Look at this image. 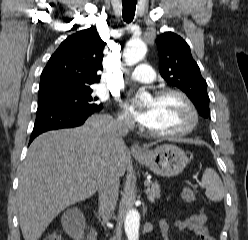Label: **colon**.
I'll use <instances>...</instances> for the list:
<instances>
[{
    "instance_id": "colon-1",
    "label": "colon",
    "mask_w": 248,
    "mask_h": 240,
    "mask_svg": "<svg viewBox=\"0 0 248 240\" xmlns=\"http://www.w3.org/2000/svg\"><path fill=\"white\" fill-rule=\"evenodd\" d=\"M182 198L185 202L192 203L195 201V193L191 188L186 187L182 191ZM44 240H63V237L59 231H53Z\"/></svg>"
}]
</instances>
